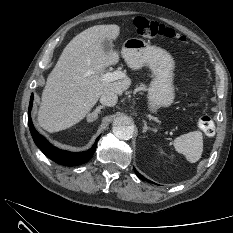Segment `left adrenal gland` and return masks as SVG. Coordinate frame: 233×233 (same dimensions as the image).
<instances>
[{
	"mask_svg": "<svg viewBox=\"0 0 233 233\" xmlns=\"http://www.w3.org/2000/svg\"><path fill=\"white\" fill-rule=\"evenodd\" d=\"M143 123H144V126H143V133H146L148 130L149 131H152V132H154V133H156L157 132V129H153V128H151V127H148L147 126V122L145 121V120H143Z\"/></svg>",
	"mask_w": 233,
	"mask_h": 233,
	"instance_id": "obj_1",
	"label": "left adrenal gland"
}]
</instances>
